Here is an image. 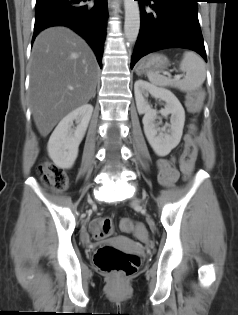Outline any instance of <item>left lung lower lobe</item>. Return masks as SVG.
I'll return each mask as SVG.
<instances>
[{
    "label": "left lung lower lobe",
    "mask_w": 238,
    "mask_h": 315,
    "mask_svg": "<svg viewBox=\"0 0 238 315\" xmlns=\"http://www.w3.org/2000/svg\"><path fill=\"white\" fill-rule=\"evenodd\" d=\"M137 1L141 2V24L131 68L151 52L174 47L194 50L207 60L197 15L198 0ZM150 1L155 4L151 5V10H145L143 3Z\"/></svg>",
    "instance_id": "obj_1"
}]
</instances>
